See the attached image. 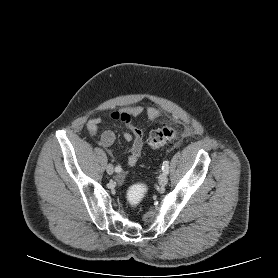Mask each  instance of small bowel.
<instances>
[{"label": "small bowel", "instance_id": "small-bowel-1", "mask_svg": "<svg viewBox=\"0 0 278 278\" xmlns=\"http://www.w3.org/2000/svg\"><path fill=\"white\" fill-rule=\"evenodd\" d=\"M143 113L146 114L147 119L153 121L161 116L159 109L155 107H149L146 110L141 106H134L123 108L120 110L113 111L109 114V118L112 120L122 121L126 128L127 132L124 134L123 138L127 142H131V148L129 150V155L127 157V163L130 166H134L138 163L143 150V140L144 133L133 123V118L141 116ZM102 123V118L96 117L91 119L88 122V129L95 133L98 129V126ZM116 136L113 131L105 130L100 137V144L108 149V152L111 154L109 148L114 144ZM124 175L121 174L118 176V180L122 181Z\"/></svg>", "mask_w": 278, "mask_h": 278}]
</instances>
